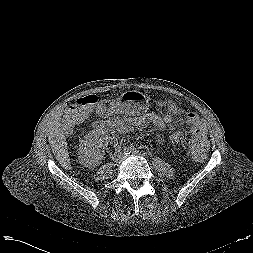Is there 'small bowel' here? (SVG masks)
<instances>
[{
  "instance_id": "small-bowel-1",
  "label": "small bowel",
  "mask_w": 253,
  "mask_h": 253,
  "mask_svg": "<svg viewBox=\"0 0 253 253\" xmlns=\"http://www.w3.org/2000/svg\"><path fill=\"white\" fill-rule=\"evenodd\" d=\"M150 118L161 131L172 130V126L166 120L157 116H151ZM181 136L180 132H174L171 138L174 142H178L181 139Z\"/></svg>"
}]
</instances>
